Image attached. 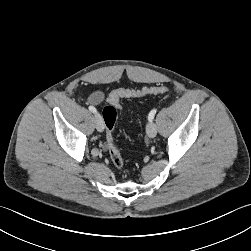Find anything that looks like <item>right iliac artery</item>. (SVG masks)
<instances>
[{"label":"right iliac artery","instance_id":"obj_1","mask_svg":"<svg viewBox=\"0 0 251 251\" xmlns=\"http://www.w3.org/2000/svg\"><path fill=\"white\" fill-rule=\"evenodd\" d=\"M89 110L93 113H97V110L94 106H89Z\"/></svg>","mask_w":251,"mask_h":251}]
</instances>
